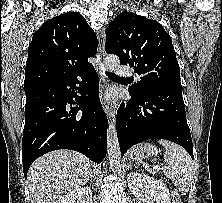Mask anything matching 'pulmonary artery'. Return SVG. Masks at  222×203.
<instances>
[{"instance_id":"1","label":"pulmonary artery","mask_w":222,"mask_h":203,"mask_svg":"<svg viewBox=\"0 0 222 203\" xmlns=\"http://www.w3.org/2000/svg\"><path fill=\"white\" fill-rule=\"evenodd\" d=\"M117 74L122 77H131L134 75L132 69L124 65H121L117 68Z\"/></svg>"}]
</instances>
